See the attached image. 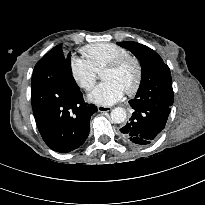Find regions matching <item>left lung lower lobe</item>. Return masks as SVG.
I'll list each match as a JSON object with an SVG mask.
<instances>
[{"label":"left lung lower lobe","instance_id":"0a47b994","mask_svg":"<svg viewBox=\"0 0 205 205\" xmlns=\"http://www.w3.org/2000/svg\"><path fill=\"white\" fill-rule=\"evenodd\" d=\"M129 104L134 112L129 122L120 129L122 138L140 146L152 143L165 128L170 107L139 104L132 100Z\"/></svg>","mask_w":205,"mask_h":205}]
</instances>
